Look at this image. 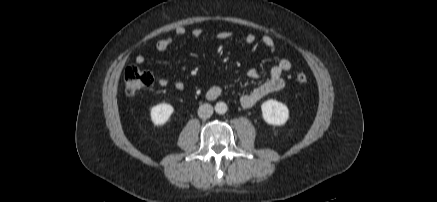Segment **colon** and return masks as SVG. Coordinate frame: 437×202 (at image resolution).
<instances>
[{"mask_svg":"<svg viewBox=\"0 0 437 202\" xmlns=\"http://www.w3.org/2000/svg\"><path fill=\"white\" fill-rule=\"evenodd\" d=\"M296 80L305 84L308 77L304 73H298ZM154 78L151 72L142 70L137 66H129L124 73L125 92L129 96L136 95L142 90L149 88L153 84Z\"/></svg>","mask_w":437,"mask_h":202,"instance_id":"colon-1","label":"colon"}]
</instances>
